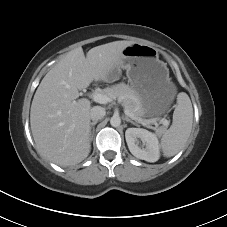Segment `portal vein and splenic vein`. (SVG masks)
<instances>
[{"mask_svg":"<svg viewBox=\"0 0 227 227\" xmlns=\"http://www.w3.org/2000/svg\"><path fill=\"white\" fill-rule=\"evenodd\" d=\"M92 99L97 102V103H100V104H106L108 102L111 101V98L105 94H101V93H98V92H94L92 94ZM124 112L126 115H128L129 117H131L132 119L136 120V121H139L143 124H147V123H152V124H157V120L160 121L161 124L165 125V126H168L169 125V121L166 120V119H151V120H148V121H143L141 118H137L136 116H134L127 108L124 109ZM155 130L157 131V129L155 128Z\"/></svg>","mask_w":227,"mask_h":227,"instance_id":"1","label":"portal vein and splenic vein"}]
</instances>
